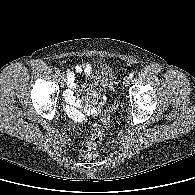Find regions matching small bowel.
I'll return each instance as SVG.
<instances>
[{
  "instance_id": "obj_1",
  "label": "small bowel",
  "mask_w": 195,
  "mask_h": 195,
  "mask_svg": "<svg viewBox=\"0 0 195 195\" xmlns=\"http://www.w3.org/2000/svg\"><path fill=\"white\" fill-rule=\"evenodd\" d=\"M92 65L89 63H84L78 65L74 70L68 71L67 73V86L68 91L65 93V97L70 106L67 108L68 115L75 121L82 122L85 120L86 115H97L99 114V109L97 107H84L83 110L77 108L79 102L76 101L73 91L78 88L77 75L81 72H85L90 75L92 73Z\"/></svg>"
}]
</instances>
